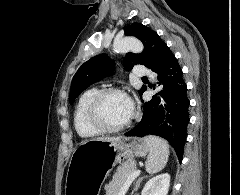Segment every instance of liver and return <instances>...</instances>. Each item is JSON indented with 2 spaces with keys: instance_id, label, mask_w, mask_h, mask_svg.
<instances>
[{
  "instance_id": "obj_1",
  "label": "liver",
  "mask_w": 240,
  "mask_h": 195,
  "mask_svg": "<svg viewBox=\"0 0 240 195\" xmlns=\"http://www.w3.org/2000/svg\"><path fill=\"white\" fill-rule=\"evenodd\" d=\"M97 139H102V141H117V137H97Z\"/></svg>"
}]
</instances>
